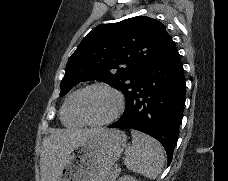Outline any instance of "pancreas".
<instances>
[{
    "label": "pancreas",
    "mask_w": 228,
    "mask_h": 181,
    "mask_svg": "<svg viewBox=\"0 0 228 181\" xmlns=\"http://www.w3.org/2000/svg\"><path fill=\"white\" fill-rule=\"evenodd\" d=\"M120 171L118 169H112L110 175H109V181H115L119 175Z\"/></svg>",
    "instance_id": "cf45deb5"
}]
</instances>
